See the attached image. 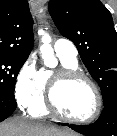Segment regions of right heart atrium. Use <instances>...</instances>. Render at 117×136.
I'll return each mask as SVG.
<instances>
[{
  "mask_svg": "<svg viewBox=\"0 0 117 136\" xmlns=\"http://www.w3.org/2000/svg\"><path fill=\"white\" fill-rule=\"evenodd\" d=\"M41 89V71L37 69L35 59L29 57L15 77L13 91L16 103L21 108H29L37 101Z\"/></svg>",
  "mask_w": 117,
  "mask_h": 136,
  "instance_id": "obj_1",
  "label": "right heart atrium"
}]
</instances>
